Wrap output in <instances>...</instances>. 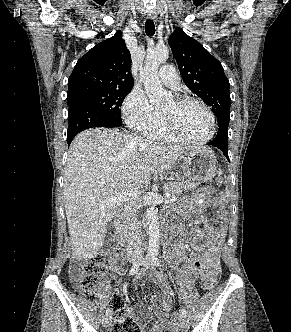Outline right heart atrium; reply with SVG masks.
I'll return each mask as SVG.
<instances>
[{
  "mask_svg": "<svg viewBox=\"0 0 291 332\" xmlns=\"http://www.w3.org/2000/svg\"><path fill=\"white\" fill-rule=\"evenodd\" d=\"M122 115L130 129L144 134L156 128L161 121L159 112L149 103L143 91L137 88L125 98Z\"/></svg>",
  "mask_w": 291,
  "mask_h": 332,
  "instance_id": "1",
  "label": "right heart atrium"
}]
</instances>
